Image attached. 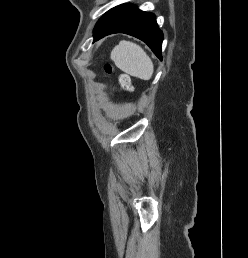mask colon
<instances>
[{
  "instance_id": "5ec220e1",
  "label": "colon",
  "mask_w": 248,
  "mask_h": 258,
  "mask_svg": "<svg viewBox=\"0 0 248 258\" xmlns=\"http://www.w3.org/2000/svg\"><path fill=\"white\" fill-rule=\"evenodd\" d=\"M106 72L107 73H112L113 72V68L110 66L106 67ZM118 81H119V85L120 87L125 90L130 92L132 90V82H131V78L128 74H120L118 77Z\"/></svg>"
}]
</instances>
